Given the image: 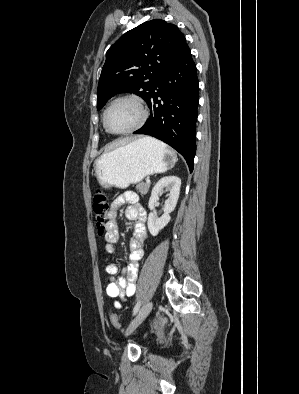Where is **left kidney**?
I'll list each match as a JSON object with an SVG mask.
<instances>
[{"instance_id":"left-kidney-1","label":"left kidney","mask_w":299,"mask_h":394,"mask_svg":"<svg viewBox=\"0 0 299 394\" xmlns=\"http://www.w3.org/2000/svg\"><path fill=\"white\" fill-rule=\"evenodd\" d=\"M181 187V179L177 176H167L160 179L152 189L151 197L149 199L148 207L151 210L148 216V229L152 236H157L170 221V213L174 211ZM165 189L169 191L168 199L165 201L164 214L158 218L152 212L154 204L159 200L160 193Z\"/></svg>"}]
</instances>
